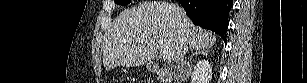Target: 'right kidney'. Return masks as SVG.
I'll return each instance as SVG.
<instances>
[{"label": "right kidney", "instance_id": "obj_1", "mask_svg": "<svg viewBox=\"0 0 307 83\" xmlns=\"http://www.w3.org/2000/svg\"><path fill=\"white\" fill-rule=\"evenodd\" d=\"M212 80V66L208 60L199 61L191 74V83H210Z\"/></svg>", "mask_w": 307, "mask_h": 83}]
</instances>
